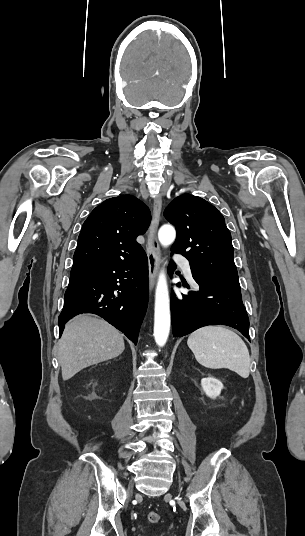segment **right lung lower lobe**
<instances>
[{
    "instance_id": "right-lung-lower-lobe-1",
    "label": "right lung lower lobe",
    "mask_w": 305,
    "mask_h": 536,
    "mask_svg": "<svg viewBox=\"0 0 305 536\" xmlns=\"http://www.w3.org/2000/svg\"><path fill=\"white\" fill-rule=\"evenodd\" d=\"M147 303L148 259L145 252L133 259L70 274L64 307L58 318L60 336L68 320L81 313H94L137 344Z\"/></svg>"
}]
</instances>
